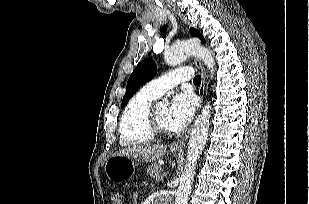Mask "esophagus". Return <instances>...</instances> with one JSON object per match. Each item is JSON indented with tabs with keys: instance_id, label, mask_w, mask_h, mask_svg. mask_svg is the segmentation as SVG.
I'll return each instance as SVG.
<instances>
[{
	"instance_id": "1",
	"label": "esophagus",
	"mask_w": 309,
	"mask_h": 204,
	"mask_svg": "<svg viewBox=\"0 0 309 204\" xmlns=\"http://www.w3.org/2000/svg\"><path fill=\"white\" fill-rule=\"evenodd\" d=\"M194 63H195V66L198 68V70L201 74V78H202L201 85L199 87V96L201 98V101L203 102L204 93H205V83H206L205 71H204V68H203L201 62L198 59H194ZM187 138H188V136L185 135V136L177 139L176 141H174L171 144V148L173 150H183V148L185 147Z\"/></svg>"
}]
</instances>
